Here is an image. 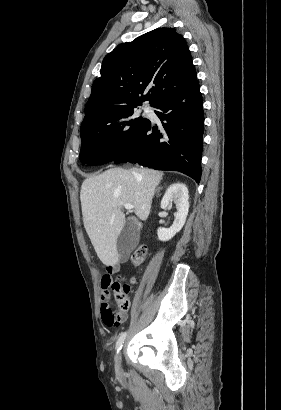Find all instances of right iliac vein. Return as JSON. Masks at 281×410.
Returning <instances> with one entry per match:
<instances>
[{
  "label": "right iliac vein",
  "mask_w": 281,
  "mask_h": 410,
  "mask_svg": "<svg viewBox=\"0 0 281 410\" xmlns=\"http://www.w3.org/2000/svg\"><path fill=\"white\" fill-rule=\"evenodd\" d=\"M115 372L117 375L122 374V368H121V352H119L116 357H115Z\"/></svg>",
  "instance_id": "1"
}]
</instances>
